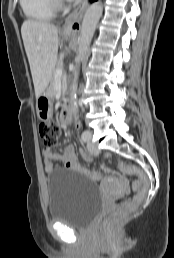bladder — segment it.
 <instances>
[{"label": "bladder", "mask_w": 174, "mask_h": 258, "mask_svg": "<svg viewBox=\"0 0 174 258\" xmlns=\"http://www.w3.org/2000/svg\"><path fill=\"white\" fill-rule=\"evenodd\" d=\"M47 188L49 216L69 226L87 227L102 209L100 188L78 170H53Z\"/></svg>", "instance_id": "obj_1"}]
</instances>
